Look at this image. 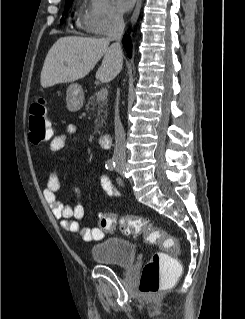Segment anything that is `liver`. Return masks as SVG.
<instances>
[{"label":"liver","instance_id":"liver-1","mask_svg":"<svg viewBox=\"0 0 245 319\" xmlns=\"http://www.w3.org/2000/svg\"><path fill=\"white\" fill-rule=\"evenodd\" d=\"M102 59L96 79L107 83L122 70L119 59L105 38L66 36L58 39L45 58L40 76L43 88L85 77Z\"/></svg>","mask_w":245,"mask_h":319}]
</instances>
